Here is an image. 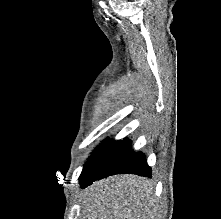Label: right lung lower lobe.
<instances>
[{"label":"right lung lower lobe","instance_id":"98d812e1","mask_svg":"<svg viewBox=\"0 0 221 219\" xmlns=\"http://www.w3.org/2000/svg\"><path fill=\"white\" fill-rule=\"evenodd\" d=\"M129 139L103 142L88 159L80 175L81 188L114 174L131 173L151 178L142 152H134Z\"/></svg>","mask_w":221,"mask_h":219}]
</instances>
